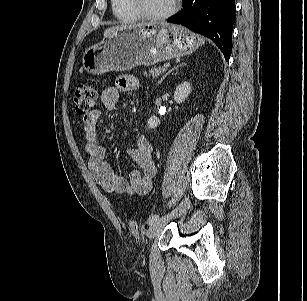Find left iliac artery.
Segmentation results:
<instances>
[{"mask_svg":"<svg viewBox=\"0 0 307 301\" xmlns=\"http://www.w3.org/2000/svg\"><path fill=\"white\" fill-rule=\"evenodd\" d=\"M159 219V215L155 214V215H152L149 220H148V224L149 225H152L154 222H156L157 220Z\"/></svg>","mask_w":307,"mask_h":301,"instance_id":"44dca946","label":"left iliac artery"}]
</instances>
